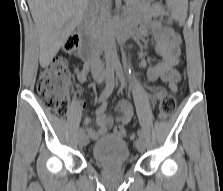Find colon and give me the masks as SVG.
<instances>
[{"mask_svg":"<svg viewBox=\"0 0 223 191\" xmlns=\"http://www.w3.org/2000/svg\"><path fill=\"white\" fill-rule=\"evenodd\" d=\"M167 23L171 19L166 17ZM79 45L77 35L70 36L64 44V50L68 53L74 52ZM69 68L65 58L56 57L52 62L42 70L39 75L36 90L44 105L58 115H65L68 109V82ZM176 108L175 98L171 95L164 96L157 109V117L160 120L167 119ZM115 134L119 137H125L127 130L124 126H117Z\"/></svg>","mask_w":223,"mask_h":191,"instance_id":"5ec220e1","label":"colon"}]
</instances>
